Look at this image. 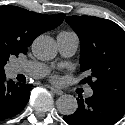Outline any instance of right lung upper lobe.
I'll return each instance as SVG.
<instances>
[{"label":"right lung upper lobe","mask_w":125,"mask_h":125,"mask_svg":"<svg viewBox=\"0 0 125 125\" xmlns=\"http://www.w3.org/2000/svg\"><path fill=\"white\" fill-rule=\"evenodd\" d=\"M64 14L44 15L16 6H0V66L10 56L27 53L40 34L59 26Z\"/></svg>","instance_id":"cb5924a9"}]
</instances>
